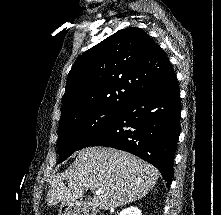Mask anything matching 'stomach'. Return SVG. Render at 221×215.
Instances as JSON below:
<instances>
[{
    "label": "stomach",
    "mask_w": 221,
    "mask_h": 215,
    "mask_svg": "<svg viewBox=\"0 0 221 215\" xmlns=\"http://www.w3.org/2000/svg\"><path fill=\"white\" fill-rule=\"evenodd\" d=\"M59 215H77L74 204L63 202L59 208Z\"/></svg>",
    "instance_id": "obj_1"
}]
</instances>
